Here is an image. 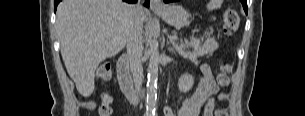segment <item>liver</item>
Segmentation results:
<instances>
[{
	"label": "liver",
	"instance_id": "6515ba94",
	"mask_svg": "<svg viewBox=\"0 0 305 116\" xmlns=\"http://www.w3.org/2000/svg\"><path fill=\"white\" fill-rule=\"evenodd\" d=\"M146 12L122 0H62L57 8L56 27L61 55L78 92L89 97L94 91L95 70L115 56L127 43L130 21Z\"/></svg>",
	"mask_w": 305,
	"mask_h": 116
}]
</instances>
